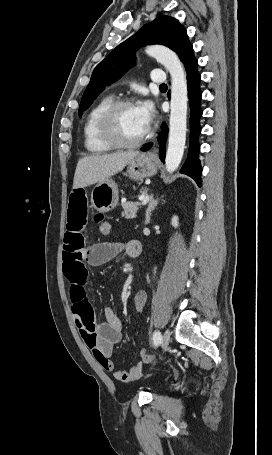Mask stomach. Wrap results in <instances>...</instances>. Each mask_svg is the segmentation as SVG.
Segmentation results:
<instances>
[{
    "label": "stomach",
    "instance_id": "stomach-1",
    "mask_svg": "<svg viewBox=\"0 0 272 455\" xmlns=\"http://www.w3.org/2000/svg\"><path fill=\"white\" fill-rule=\"evenodd\" d=\"M127 165V174L133 180L151 177L158 169L157 161L149 154H139ZM118 200L117 184L112 179L98 183L91 193L92 207L98 212H109L117 206Z\"/></svg>",
    "mask_w": 272,
    "mask_h": 455
}]
</instances>
